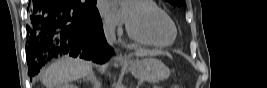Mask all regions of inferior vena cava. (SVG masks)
<instances>
[{
	"mask_svg": "<svg viewBox=\"0 0 267 88\" xmlns=\"http://www.w3.org/2000/svg\"><path fill=\"white\" fill-rule=\"evenodd\" d=\"M104 34H105L107 42L110 45H113V43L115 42V27H114V25L105 24L104 25Z\"/></svg>",
	"mask_w": 267,
	"mask_h": 88,
	"instance_id": "1",
	"label": "inferior vena cava"
}]
</instances>
